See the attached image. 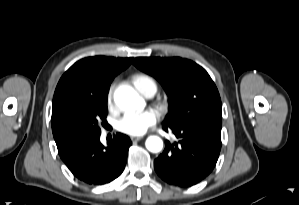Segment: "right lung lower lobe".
Segmentation results:
<instances>
[{
	"label": "right lung lower lobe",
	"mask_w": 299,
	"mask_h": 205,
	"mask_svg": "<svg viewBox=\"0 0 299 205\" xmlns=\"http://www.w3.org/2000/svg\"><path fill=\"white\" fill-rule=\"evenodd\" d=\"M130 145L128 136L117 133L108 146L104 147L98 133L58 152L75 177L90 185H102L121 175Z\"/></svg>",
	"instance_id": "98d812e1"
}]
</instances>
